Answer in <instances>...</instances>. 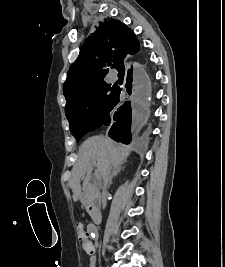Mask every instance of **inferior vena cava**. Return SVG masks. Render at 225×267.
<instances>
[{"label":"inferior vena cava","mask_w":225,"mask_h":267,"mask_svg":"<svg viewBox=\"0 0 225 267\" xmlns=\"http://www.w3.org/2000/svg\"><path fill=\"white\" fill-rule=\"evenodd\" d=\"M110 177H111V171H110V169H107V171L103 177V188H102V194H101L102 202H104V200H105V196H106Z\"/></svg>","instance_id":"inferior-vena-cava-1"}]
</instances>
